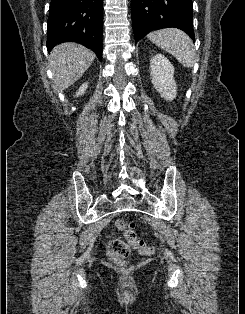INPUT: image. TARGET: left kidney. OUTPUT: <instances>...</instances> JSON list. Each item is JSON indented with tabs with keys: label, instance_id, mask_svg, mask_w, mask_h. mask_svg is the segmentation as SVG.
Listing matches in <instances>:
<instances>
[{
	"label": "left kidney",
	"instance_id": "left-kidney-1",
	"mask_svg": "<svg viewBox=\"0 0 245 314\" xmlns=\"http://www.w3.org/2000/svg\"><path fill=\"white\" fill-rule=\"evenodd\" d=\"M150 68L154 88L160 93L161 97L172 101L177 94L173 65L164 55L156 54L150 60Z\"/></svg>",
	"mask_w": 245,
	"mask_h": 314
}]
</instances>
